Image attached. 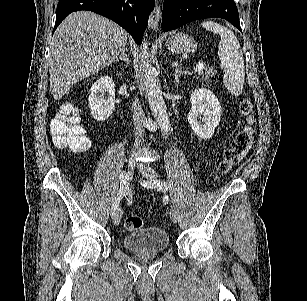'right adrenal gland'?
<instances>
[{
    "label": "right adrenal gland",
    "mask_w": 307,
    "mask_h": 301,
    "mask_svg": "<svg viewBox=\"0 0 307 301\" xmlns=\"http://www.w3.org/2000/svg\"><path fill=\"white\" fill-rule=\"evenodd\" d=\"M127 50H128V48H124V50H122L121 56H117V58H115V60H123V62H126L125 68H127L128 64L130 62V60L128 58V54H126Z\"/></svg>",
    "instance_id": "1"
}]
</instances>
